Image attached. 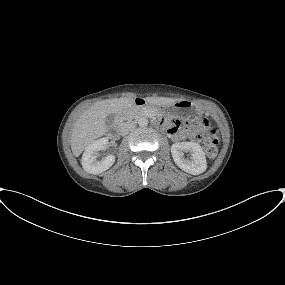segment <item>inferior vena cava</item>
Instances as JSON below:
<instances>
[{
    "mask_svg": "<svg viewBox=\"0 0 285 285\" xmlns=\"http://www.w3.org/2000/svg\"><path fill=\"white\" fill-rule=\"evenodd\" d=\"M136 127V124L134 122H126L122 125L120 128L121 135H127L129 132L134 130Z\"/></svg>",
    "mask_w": 285,
    "mask_h": 285,
    "instance_id": "inferior-vena-cava-1",
    "label": "inferior vena cava"
}]
</instances>
